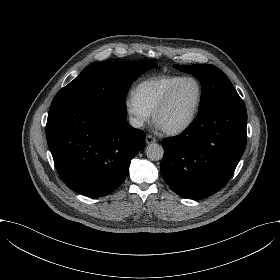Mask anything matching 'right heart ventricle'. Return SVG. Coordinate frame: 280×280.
<instances>
[{"label": "right heart ventricle", "instance_id": "e07e8e85", "mask_svg": "<svg viewBox=\"0 0 280 280\" xmlns=\"http://www.w3.org/2000/svg\"><path fill=\"white\" fill-rule=\"evenodd\" d=\"M180 74L151 77L140 81L133 93L138 101L151 113L163 101L167 93L183 78Z\"/></svg>", "mask_w": 280, "mask_h": 280}]
</instances>
